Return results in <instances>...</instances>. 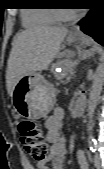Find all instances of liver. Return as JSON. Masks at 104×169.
Masks as SVG:
<instances>
[{
  "mask_svg": "<svg viewBox=\"0 0 104 169\" xmlns=\"http://www.w3.org/2000/svg\"><path fill=\"white\" fill-rule=\"evenodd\" d=\"M67 34L66 27L38 26L14 37L6 70V86L10 96L22 77L48 68Z\"/></svg>",
  "mask_w": 104,
  "mask_h": 169,
  "instance_id": "obj_1",
  "label": "liver"
}]
</instances>
